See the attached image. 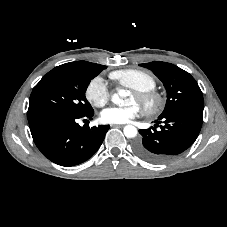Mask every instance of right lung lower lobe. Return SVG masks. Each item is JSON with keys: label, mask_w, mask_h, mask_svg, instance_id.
Returning a JSON list of instances; mask_svg holds the SVG:
<instances>
[{"label": "right lung lower lobe", "mask_w": 227, "mask_h": 227, "mask_svg": "<svg viewBox=\"0 0 227 227\" xmlns=\"http://www.w3.org/2000/svg\"><path fill=\"white\" fill-rule=\"evenodd\" d=\"M94 111L84 115L41 113L29 118L33 140L52 162L74 166L88 160L101 146L110 126L81 127L79 118L92 119Z\"/></svg>", "instance_id": "obj_1"}]
</instances>
